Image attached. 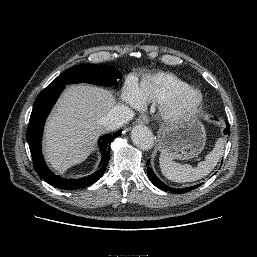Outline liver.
Masks as SVG:
<instances>
[{
    "mask_svg": "<svg viewBox=\"0 0 257 257\" xmlns=\"http://www.w3.org/2000/svg\"><path fill=\"white\" fill-rule=\"evenodd\" d=\"M115 103L113 93L98 86L66 88L45 127L44 154L52 168L64 171L90 155L104 131L100 119Z\"/></svg>",
    "mask_w": 257,
    "mask_h": 257,
    "instance_id": "6515ba94",
    "label": "liver"
}]
</instances>
